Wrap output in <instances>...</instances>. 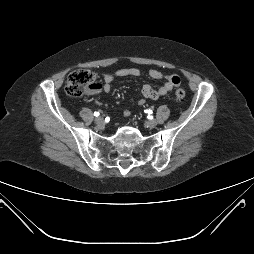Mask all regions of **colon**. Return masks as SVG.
Returning <instances> with one entry per match:
<instances>
[{
    "label": "colon",
    "mask_w": 254,
    "mask_h": 254,
    "mask_svg": "<svg viewBox=\"0 0 254 254\" xmlns=\"http://www.w3.org/2000/svg\"><path fill=\"white\" fill-rule=\"evenodd\" d=\"M99 84L96 81V75L90 70H75L67 78L65 90L69 97L78 98L85 92L96 89ZM186 94L183 89L175 91V99L183 101Z\"/></svg>",
    "instance_id": "5ec220e1"
}]
</instances>
